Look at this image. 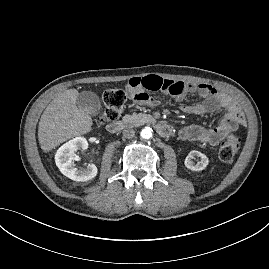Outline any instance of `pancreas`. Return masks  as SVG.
Instances as JSON below:
<instances>
[{
	"instance_id": "obj_1",
	"label": "pancreas",
	"mask_w": 269,
	"mask_h": 269,
	"mask_svg": "<svg viewBox=\"0 0 269 269\" xmlns=\"http://www.w3.org/2000/svg\"><path fill=\"white\" fill-rule=\"evenodd\" d=\"M146 114H132V115H128L126 114L123 118H122V122L126 125L129 126H140L142 124H144L146 122Z\"/></svg>"
}]
</instances>
